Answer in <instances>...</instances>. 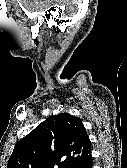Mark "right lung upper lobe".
I'll return each instance as SVG.
<instances>
[{"label":"right lung upper lobe","instance_id":"1","mask_svg":"<svg viewBox=\"0 0 127 168\" xmlns=\"http://www.w3.org/2000/svg\"><path fill=\"white\" fill-rule=\"evenodd\" d=\"M91 157L82 121L61 113L40 123L15 146L7 168H75Z\"/></svg>","mask_w":127,"mask_h":168}]
</instances>
